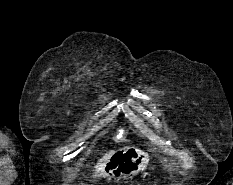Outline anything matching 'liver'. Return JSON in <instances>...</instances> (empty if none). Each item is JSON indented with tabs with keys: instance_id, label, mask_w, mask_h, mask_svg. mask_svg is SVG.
<instances>
[{
	"instance_id": "6515ba94",
	"label": "liver",
	"mask_w": 233,
	"mask_h": 185,
	"mask_svg": "<svg viewBox=\"0 0 233 185\" xmlns=\"http://www.w3.org/2000/svg\"><path fill=\"white\" fill-rule=\"evenodd\" d=\"M113 153L114 151H110L98 160L95 166V177L104 176V166Z\"/></svg>"
}]
</instances>
